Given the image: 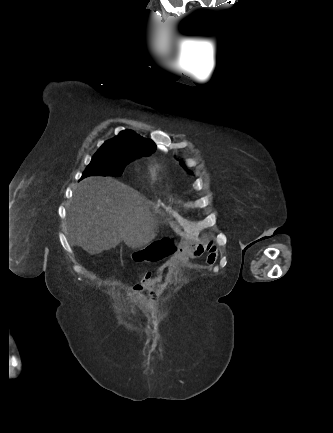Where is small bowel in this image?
I'll list each match as a JSON object with an SVG mask.
<instances>
[{"label":"small bowel","instance_id":"small-bowel-1","mask_svg":"<svg viewBox=\"0 0 333 433\" xmlns=\"http://www.w3.org/2000/svg\"><path fill=\"white\" fill-rule=\"evenodd\" d=\"M175 253H177V248L175 249ZM178 262L175 265V268H181L186 266L190 261L204 257L206 263L209 266L215 264L217 260V247L212 243L205 244H195V245H185L182 247L180 252L177 253ZM161 282L158 281L156 275L152 271L146 272L141 281L133 287V295L135 299H137V295L145 290L149 293L152 301L157 303L160 301V287Z\"/></svg>","mask_w":333,"mask_h":433}]
</instances>
